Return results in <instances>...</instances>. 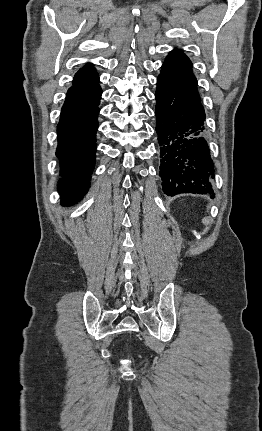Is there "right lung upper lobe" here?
I'll list each match as a JSON object with an SVG mask.
<instances>
[{
    "label": "right lung upper lobe",
    "instance_id": "right-lung-upper-lobe-1",
    "mask_svg": "<svg viewBox=\"0 0 262 431\" xmlns=\"http://www.w3.org/2000/svg\"><path fill=\"white\" fill-rule=\"evenodd\" d=\"M99 77L96 70L88 65L78 71L73 80L72 87L98 85Z\"/></svg>",
    "mask_w": 262,
    "mask_h": 431
}]
</instances>
